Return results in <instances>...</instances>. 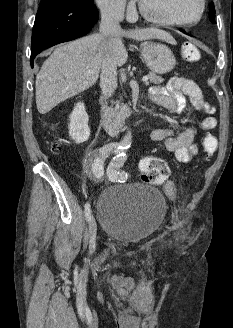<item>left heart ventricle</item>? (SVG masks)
Instances as JSON below:
<instances>
[{
    "label": "left heart ventricle",
    "instance_id": "b2bd125f",
    "mask_svg": "<svg viewBox=\"0 0 233 328\" xmlns=\"http://www.w3.org/2000/svg\"><path fill=\"white\" fill-rule=\"evenodd\" d=\"M141 3L152 15L177 21L194 20L200 10L199 0H141Z\"/></svg>",
    "mask_w": 233,
    "mask_h": 328
}]
</instances>
